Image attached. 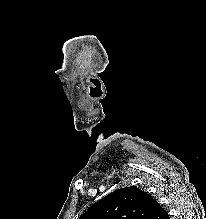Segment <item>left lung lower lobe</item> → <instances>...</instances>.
<instances>
[{"label": "left lung lower lobe", "instance_id": "left-lung-lower-lobe-1", "mask_svg": "<svg viewBox=\"0 0 206 219\" xmlns=\"http://www.w3.org/2000/svg\"><path fill=\"white\" fill-rule=\"evenodd\" d=\"M150 219H170L168 213L156 202L153 203Z\"/></svg>", "mask_w": 206, "mask_h": 219}]
</instances>
